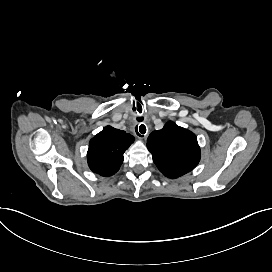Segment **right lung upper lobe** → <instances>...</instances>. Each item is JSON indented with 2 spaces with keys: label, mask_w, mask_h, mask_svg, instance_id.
<instances>
[{
  "label": "right lung upper lobe",
  "mask_w": 272,
  "mask_h": 272,
  "mask_svg": "<svg viewBox=\"0 0 272 272\" xmlns=\"http://www.w3.org/2000/svg\"><path fill=\"white\" fill-rule=\"evenodd\" d=\"M133 141L131 134L106 126L90 140L87 152L90 169L101 176L113 175L119 170L123 154Z\"/></svg>",
  "instance_id": "cb5924a9"
}]
</instances>
